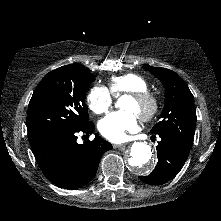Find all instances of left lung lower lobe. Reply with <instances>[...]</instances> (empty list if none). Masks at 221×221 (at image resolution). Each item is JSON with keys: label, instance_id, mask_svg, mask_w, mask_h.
Masks as SVG:
<instances>
[{"label": "left lung lower lobe", "instance_id": "0a47b994", "mask_svg": "<svg viewBox=\"0 0 221 221\" xmlns=\"http://www.w3.org/2000/svg\"><path fill=\"white\" fill-rule=\"evenodd\" d=\"M157 156L158 163L148 176L139 177L145 183L159 185L168 182L182 169L189 151L168 136L159 135Z\"/></svg>", "mask_w": 221, "mask_h": 221}]
</instances>
